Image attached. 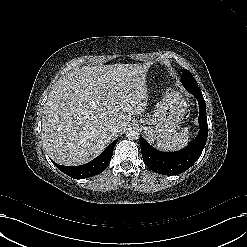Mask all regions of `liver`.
<instances>
[{
    "label": "liver",
    "instance_id": "6515ba94",
    "mask_svg": "<svg viewBox=\"0 0 247 247\" xmlns=\"http://www.w3.org/2000/svg\"><path fill=\"white\" fill-rule=\"evenodd\" d=\"M151 63L83 66L59 80L43 111L42 140L58 164L82 165L97 157L131 115L146 110V74Z\"/></svg>",
    "mask_w": 247,
    "mask_h": 247
}]
</instances>
